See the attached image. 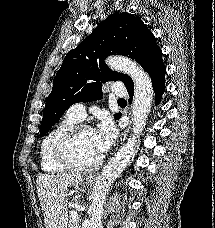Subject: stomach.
Wrapping results in <instances>:
<instances>
[{
	"instance_id": "0dacf381",
	"label": "stomach",
	"mask_w": 215,
	"mask_h": 228,
	"mask_svg": "<svg viewBox=\"0 0 215 228\" xmlns=\"http://www.w3.org/2000/svg\"><path fill=\"white\" fill-rule=\"evenodd\" d=\"M90 174L89 176H85L84 180H82V184H85V186H91L92 182H90Z\"/></svg>"
}]
</instances>
